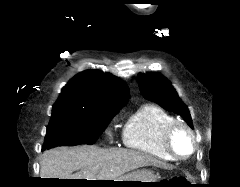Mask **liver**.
Here are the masks:
<instances>
[{"label": "liver", "instance_id": "1", "mask_svg": "<svg viewBox=\"0 0 240 187\" xmlns=\"http://www.w3.org/2000/svg\"><path fill=\"white\" fill-rule=\"evenodd\" d=\"M40 165L41 178L87 180H116L140 167L164 166L152 156L133 150L87 145L47 150Z\"/></svg>", "mask_w": 240, "mask_h": 187}]
</instances>
